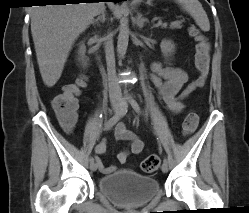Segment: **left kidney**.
I'll list each match as a JSON object with an SVG mask.
<instances>
[{
  "mask_svg": "<svg viewBox=\"0 0 249 213\" xmlns=\"http://www.w3.org/2000/svg\"><path fill=\"white\" fill-rule=\"evenodd\" d=\"M160 47H161V51L165 57H168L169 55H171V53H173L174 49H175L174 43L170 40H163L161 42Z\"/></svg>",
  "mask_w": 249,
  "mask_h": 213,
  "instance_id": "5707ae66",
  "label": "left kidney"
}]
</instances>
